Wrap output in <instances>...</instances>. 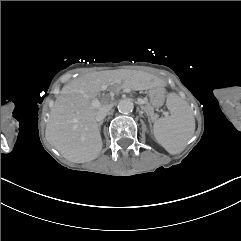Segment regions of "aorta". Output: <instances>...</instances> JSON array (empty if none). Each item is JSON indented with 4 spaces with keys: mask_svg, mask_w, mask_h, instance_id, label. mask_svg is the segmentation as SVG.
Returning a JSON list of instances; mask_svg holds the SVG:
<instances>
[{
    "mask_svg": "<svg viewBox=\"0 0 241 241\" xmlns=\"http://www.w3.org/2000/svg\"><path fill=\"white\" fill-rule=\"evenodd\" d=\"M133 109L134 104L130 99H123L118 103V110L122 114H129Z\"/></svg>",
    "mask_w": 241,
    "mask_h": 241,
    "instance_id": "obj_1",
    "label": "aorta"
}]
</instances>
